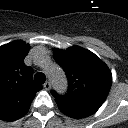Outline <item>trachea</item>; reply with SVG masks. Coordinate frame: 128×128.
Returning <instances> with one entry per match:
<instances>
[{"mask_svg": "<svg viewBox=\"0 0 128 128\" xmlns=\"http://www.w3.org/2000/svg\"><path fill=\"white\" fill-rule=\"evenodd\" d=\"M34 80L37 84H43L46 80V77L43 73L38 72V73L35 74Z\"/></svg>", "mask_w": 128, "mask_h": 128, "instance_id": "obj_1", "label": "trachea"}]
</instances>
